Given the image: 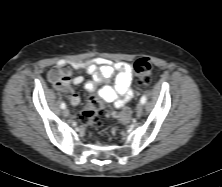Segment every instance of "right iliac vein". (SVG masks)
<instances>
[{
	"mask_svg": "<svg viewBox=\"0 0 222 187\" xmlns=\"http://www.w3.org/2000/svg\"><path fill=\"white\" fill-rule=\"evenodd\" d=\"M63 115H64L65 117L69 116V110H68V109H64V110H63Z\"/></svg>",
	"mask_w": 222,
	"mask_h": 187,
	"instance_id": "obj_1",
	"label": "right iliac vein"
}]
</instances>
